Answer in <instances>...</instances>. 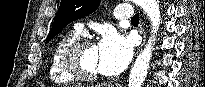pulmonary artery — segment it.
Here are the masks:
<instances>
[{
	"label": "pulmonary artery",
	"mask_w": 205,
	"mask_h": 87,
	"mask_svg": "<svg viewBox=\"0 0 205 87\" xmlns=\"http://www.w3.org/2000/svg\"><path fill=\"white\" fill-rule=\"evenodd\" d=\"M114 19L116 20H123V19H129L133 17V9L130 4H123L118 6L114 13ZM75 30L79 33H85V29L82 24L78 23L75 26Z\"/></svg>",
	"instance_id": "pulmonary-artery-1"
}]
</instances>
